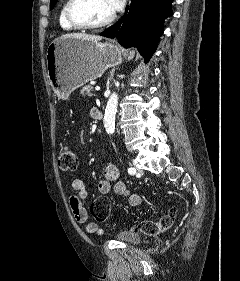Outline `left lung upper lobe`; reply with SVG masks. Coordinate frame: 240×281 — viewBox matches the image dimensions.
<instances>
[{
    "label": "left lung upper lobe",
    "instance_id": "1",
    "mask_svg": "<svg viewBox=\"0 0 240 281\" xmlns=\"http://www.w3.org/2000/svg\"><path fill=\"white\" fill-rule=\"evenodd\" d=\"M56 2H57V0H51V2H50V9H52L54 7Z\"/></svg>",
    "mask_w": 240,
    "mask_h": 281
}]
</instances>
